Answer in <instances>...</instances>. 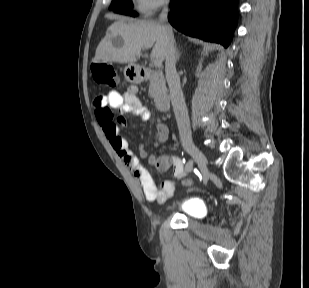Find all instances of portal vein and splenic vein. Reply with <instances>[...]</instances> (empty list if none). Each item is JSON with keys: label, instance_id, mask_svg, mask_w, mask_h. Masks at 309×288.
I'll use <instances>...</instances> for the list:
<instances>
[{"label": "portal vein and splenic vein", "instance_id": "18ae733b", "mask_svg": "<svg viewBox=\"0 0 309 288\" xmlns=\"http://www.w3.org/2000/svg\"><path fill=\"white\" fill-rule=\"evenodd\" d=\"M154 65L155 67H160L162 65V60L160 58H155L154 59Z\"/></svg>", "mask_w": 309, "mask_h": 288}]
</instances>
